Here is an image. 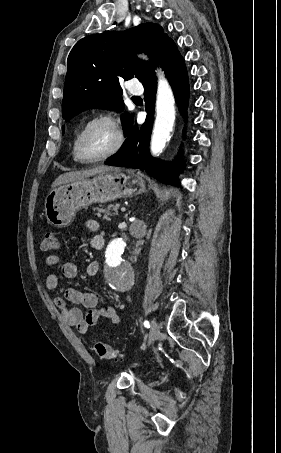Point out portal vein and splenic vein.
Here are the masks:
<instances>
[{"label":"portal vein and splenic vein","mask_w":281,"mask_h":453,"mask_svg":"<svg viewBox=\"0 0 281 453\" xmlns=\"http://www.w3.org/2000/svg\"><path fill=\"white\" fill-rule=\"evenodd\" d=\"M120 212H126V207H121Z\"/></svg>","instance_id":"1"}]
</instances>
